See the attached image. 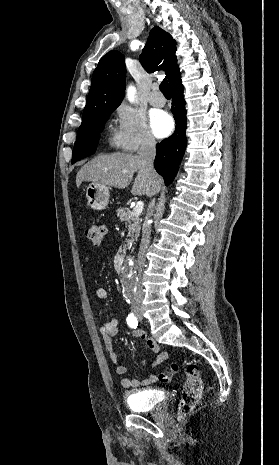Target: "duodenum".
Wrapping results in <instances>:
<instances>
[{"mask_svg":"<svg viewBox=\"0 0 279 465\" xmlns=\"http://www.w3.org/2000/svg\"><path fill=\"white\" fill-rule=\"evenodd\" d=\"M125 258V250H121L115 257V267L117 271H122Z\"/></svg>","mask_w":279,"mask_h":465,"instance_id":"1","label":"duodenum"}]
</instances>
